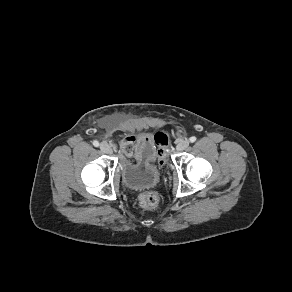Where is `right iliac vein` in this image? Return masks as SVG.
I'll return each instance as SVG.
<instances>
[{
	"label": "right iliac vein",
	"instance_id": "63e3f726",
	"mask_svg": "<svg viewBox=\"0 0 292 292\" xmlns=\"http://www.w3.org/2000/svg\"><path fill=\"white\" fill-rule=\"evenodd\" d=\"M100 149H101L102 152H104L106 154H111L112 153L111 147L105 142L100 144Z\"/></svg>",
	"mask_w": 292,
	"mask_h": 292
}]
</instances>
